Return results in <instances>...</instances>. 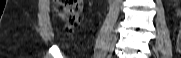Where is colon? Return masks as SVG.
<instances>
[{"label": "colon", "instance_id": "colon-1", "mask_svg": "<svg viewBox=\"0 0 181 58\" xmlns=\"http://www.w3.org/2000/svg\"><path fill=\"white\" fill-rule=\"evenodd\" d=\"M59 15L65 23L68 33L72 32L79 24L82 11V0H57ZM177 48L181 53V25L177 38Z\"/></svg>", "mask_w": 181, "mask_h": 58}]
</instances>
